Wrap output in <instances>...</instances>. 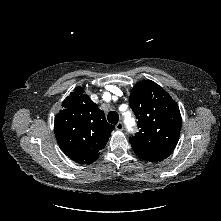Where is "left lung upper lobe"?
Masks as SVG:
<instances>
[{
    "label": "left lung upper lobe",
    "instance_id": "left-lung-upper-lobe-1",
    "mask_svg": "<svg viewBox=\"0 0 221 221\" xmlns=\"http://www.w3.org/2000/svg\"><path fill=\"white\" fill-rule=\"evenodd\" d=\"M139 132L129 138L135 154L150 162L167 158L177 145L182 126L180 110L171 96L151 80L138 82L129 98Z\"/></svg>",
    "mask_w": 221,
    "mask_h": 221
}]
</instances>
